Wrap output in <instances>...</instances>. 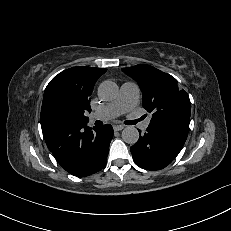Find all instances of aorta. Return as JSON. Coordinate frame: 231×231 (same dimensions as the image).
<instances>
[{
	"label": "aorta",
	"instance_id": "obj_1",
	"mask_svg": "<svg viewBox=\"0 0 231 231\" xmlns=\"http://www.w3.org/2000/svg\"><path fill=\"white\" fill-rule=\"evenodd\" d=\"M118 93V86L115 82L106 80L98 87V96L102 100H112ZM122 139L128 144H135L139 139V132L134 126H127L122 131Z\"/></svg>",
	"mask_w": 231,
	"mask_h": 231
}]
</instances>
